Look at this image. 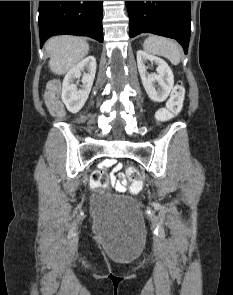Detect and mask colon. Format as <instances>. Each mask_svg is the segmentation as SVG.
Instances as JSON below:
<instances>
[{"instance_id": "5ec220e1", "label": "colon", "mask_w": 233, "mask_h": 295, "mask_svg": "<svg viewBox=\"0 0 233 295\" xmlns=\"http://www.w3.org/2000/svg\"><path fill=\"white\" fill-rule=\"evenodd\" d=\"M58 92V85L52 83L48 86L45 94L46 105L55 116H61L63 114V108L58 97ZM184 94V86L181 83H178L173 88L167 107L158 111L157 117L160 121L165 122L171 120L180 112L183 105ZM126 172L130 181L131 192H138L142 187V176L140 172L134 167H129ZM108 179V174L104 170H95L90 176V186L92 188L104 187L108 184Z\"/></svg>"}]
</instances>
